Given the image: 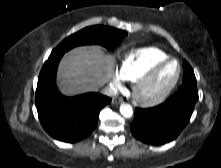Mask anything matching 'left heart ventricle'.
<instances>
[{"instance_id": "obj_1", "label": "left heart ventricle", "mask_w": 221, "mask_h": 168, "mask_svg": "<svg viewBox=\"0 0 221 168\" xmlns=\"http://www.w3.org/2000/svg\"><path fill=\"white\" fill-rule=\"evenodd\" d=\"M177 66L175 63H169L164 66L154 80L148 85L146 91L153 93L160 90L166 84H168L176 74Z\"/></svg>"}]
</instances>
